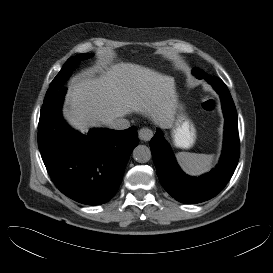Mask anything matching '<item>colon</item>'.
Wrapping results in <instances>:
<instances>
[{"mask_svg":"<svg viewBox=\"0 0 273 273\" xmlns=\"http://www.w3.org/2000/svg\"><path fill=\"white\" fill-rule=\"evenodd\" d=\"M202 108L206 112H213L216 109V101L215 99L210 95H205L202 98Z\"/></svg>","mask_w":273,"mask_h":273,"instance_id":"5ec220e1","label":"colon"}]
</instances>
